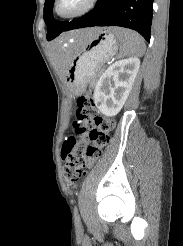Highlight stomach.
<instances>
[{
  "label": "stomach",
  "instance_id": "1",
  "mask_svg": "<svg viewBox=\"0 0 183 246\" xmlns=\"http://www.w3.org/2000/svg\"><path fill=\"white\" fill-rule=\"evenodd\" d=\"M117 31L118 28H98L89 41L64 42V49L70 57L65 82L71 95L81 94L104 62L116 53L119 45Z\"/></svg>",
  "mask_w": 183,
  "mask_h": 246
}]
</instances>
